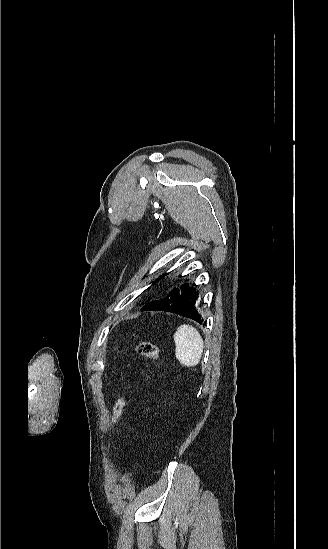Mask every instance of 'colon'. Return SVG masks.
<instances>
[{
	"mask_svg": "<svg viewBox=\"0 0 328 549\" xmlns=\"http://www.w3.org/2000/svg\"><path fill=\"white\" fill-rule=\"evenodd\" d=\"M136 351L148 359L151 363H155L159 357H160V349L157 345L148 342V341H142L136 346ZM127 399L126 396L123 395L119 397L114 406L112 411V421L113 424H117L122 416L123 410L125 408Z\"/></svg>",
	"mask_w": 328,
	"mask_h": 549,
	"instance_id": "colon-1",
	"label": "colon"
}]
</instances>
